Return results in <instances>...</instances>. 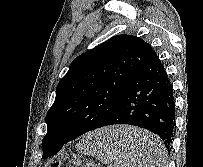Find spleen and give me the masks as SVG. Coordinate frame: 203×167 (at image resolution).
<instances>
[{
	"instance_id": "spleen-1",
	"label": "spleen",
	"mask_w": 203,
	"mask_h": 167,
	"mask_svg": "<svg viewBox=\"0 0 203 167\" xmlns=\"http://www.w3.org/2000/svg\"><path fill=\"white\" fill-rule=\"evenodd\" d=\"M110 137L100 131L88 134L80 144V150L89 153L108 167H166V151L164 145L157 137H152L143 148V154L139 153L135 159L122 149L120 145L109 147ZM122 149L125 155H117L114 149ZM127 148L129 149L128 145Z\"/></svg>"
}]
</instances>
